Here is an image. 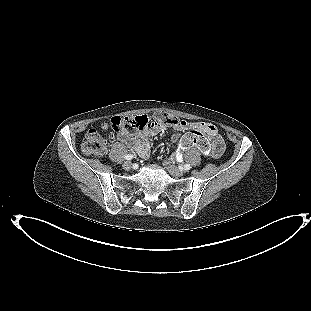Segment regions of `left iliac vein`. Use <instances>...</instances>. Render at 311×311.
<instances>
[{
	"label": "left iliac vein",
	"instance_id": "left-iliac-vein-1",
	"mask_svg": "<svg viewBox=\"0 0 311 311\" xmlns=\"http://www.w3.org/2000/svg\"><path fill=\"white\" fill-rule=\"evenodd\" d=\"M167 169L169 173L175 177H180L184 174V171L176 167L175 165L171 164L170 162L167 165Z\"/></svg>",
	"mask_w": 311,
	"mask_h": 311
}]
</instances>
